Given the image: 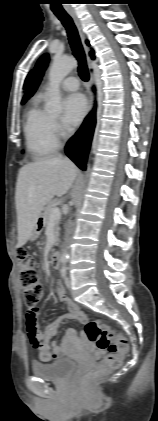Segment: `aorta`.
I'll return each instance as SVG.
<instances>
[{
	"label": "aorta",
	"mask_w": 158,
	"mask_h": 421,
	"mask_svg": "<svg viewBox=\"0 0 158 421\" xmlns=\"http://www.w3.org/2000/svg\"><path fill=\"white\" fill-rule=\"evenodd\" d=\"M77 67V61L74 58H55L49 69V102L48 108L56 113L61 111V94L60 83L62 80ZM68 247L65 246L61 260L66 262L68 260Z\"/></svg>",
	"instance_id": "1"
}]
</instances>
